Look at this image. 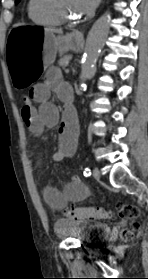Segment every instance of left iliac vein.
<instances>
[{
    "label": "left iliac vein",
    "mask_w": 148,
    "mask_h": 279,
    "mask_svg": "<svg viewBox=\"0 0 148 279\" xmlns=\"http://www.w3.org/2000/svg\"><path fill=\"white\" fill-rule=\"evenodd\" d=\"M93 176H94V178H95L96 180H99V179H100L101 175H100V171H99L98 168H94V169H93Z\"/></svg>",
    "instance_id": "1"
}]
</instances>
